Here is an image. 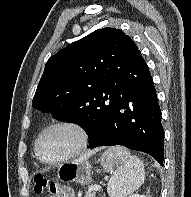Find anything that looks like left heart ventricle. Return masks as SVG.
Instances as JSON below:
<instances>
[{"instance_id": "b2bd125f", "label": "left heart ventricle", "mask_w": 191, "mask_h": 197, "mask_svg": "<svg viewBox=\"0 0 191 197\" xmlns=\"http://www.w3.org/2000/svg\"><path fill=\"white\" fill-rule=\"evenodd\" d=\"M78 143L79 138L74 130L65 127L53 128L42 136L39 153L44 160H56L72 152Z\"/></svg>"}]
</instances>
